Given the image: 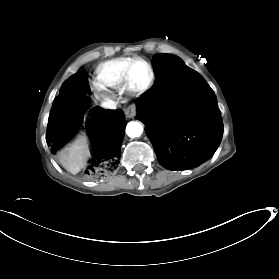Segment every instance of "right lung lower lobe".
<instances>
[{
  "label": "right lung lower lobe",
  "instance_id": "right-lung-lower-lobe-1",
  "mask_svg": "<svg viewBox=\"0 0 279 279\" xmlns=\"http://www.w3.org/2000/svg\"><path fill=\"white\" fill-rule=\"evenodd\" d=\"M86 93H89L86 73H77L63 83L60 94L54 99L46 133V141L53 154L78 129L84 110L91 103ZM125 126L126 121L121 110H117V114L113 116L98 118L91 124L86 123L87 128L93 127L96 130L100 147L92 149V157L79 169L80 174L98 177L119 162Z\"/></svg>",
  "mask_w": 279,
  "mask_h": 279
}]
</instances>
